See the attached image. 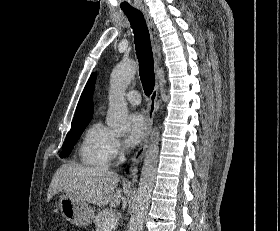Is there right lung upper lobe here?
Here are the masks:
<instances>
[{
	"instance_id": "obj_1",
	"label": "right lung upper lobe",
	"mask_w": 280,
	"mask_h": 231,
	"mask_svg": "<svg viewBox=\"0 0 280 231\" xmlns=\"http://www.w3.org/2000/svg\"><path fill=\"white\" fill-rule=\"evenodd\" d=\"M96 79V73H93L88 80L83 93L80 97L79 103L77 105V109L75 112V116L73 118L71 128L83 125L85 123L90 122L93 114V89Z\"/></svg>"
}]
</instances>
